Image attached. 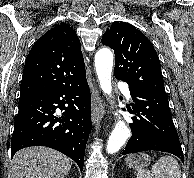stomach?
Wrapping results in <instances>:
<instances>
[{"label": "stomach", "mask_w": 194, "mask_h": 178, "mask_svg": "<svg viewBox=\"0 0 194 178\" xmlns=\"http://www.w3.org/2000/svg\"><path fill=\"white\" fill-rule=\"evenodd\" d=\"M127 164L129 167H135V168H144L150 165L151 158L148 154H142L140 156H129L127 158Z\"/></svg>", "instance_id": "0dacf381"}]
</instances>
